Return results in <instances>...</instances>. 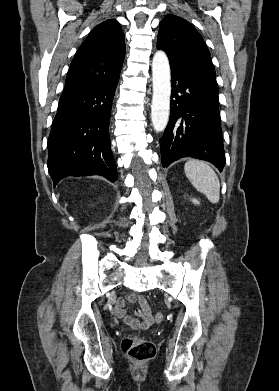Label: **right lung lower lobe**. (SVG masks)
Listing matches in <instances>:
<instances>
[{
  "label": "right lung lower lobe",
  "instance_id": "obj_1",
  "mask_svg": "<svg viewBox=\"0 0 279 391\" xmlns=\"http://www.w3.org/2000/svg\"><path fill=\"white\" fill-rule=\"evenodd\" d=\"M119 75L60 97L49 135L48 171L54 187L67 176L103 175L117 180L109 119Z\"/></svg>",
  "mask_w": 279,
  "mask_h": 391
}]
</instances>
